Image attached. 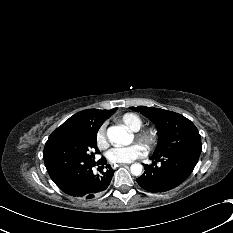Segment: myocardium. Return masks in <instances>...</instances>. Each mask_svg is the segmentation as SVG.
Instances as JSON below:
<instances>
[{
	"label": "myocardium",
	"instance_id": "myocardium-1",
	"mask_svg": "<svg viewBox=\"0 0 233 233\" xmlns=\"http://www.w3.org/2000/svg\"><path fill=\"white\" fill-rule=\"evenodd\" d=\"M135 137L141 141L146 148L151 149L156 146L158 142V131L155 127H144L134 131Z\"/></svg>",
	"mask_w": 233,
	"mask_h": 233
}]
</instances>
